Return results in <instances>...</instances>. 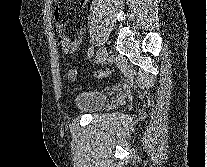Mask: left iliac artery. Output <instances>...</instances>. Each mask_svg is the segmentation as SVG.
Here are the masks:
<instances>
[{"mask_svg": "<svg viewBox=\"0 0 207 167\" xmlns=\"http://www.w3.org/2000/svg\"><path fill=\"white\" fill-rule=\"evenodd\" d=\"M93 53H94V47L90 46L89 49H88V57L91 58Z\"/></svg>", "mask_w": 207, "mask_h": 167, "instance_id": "44dca946", "label": "left iliac artery"}]
</instances>
